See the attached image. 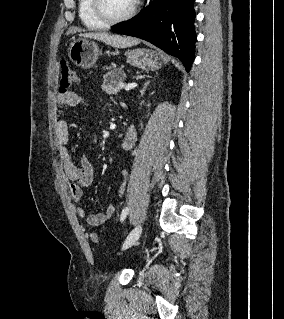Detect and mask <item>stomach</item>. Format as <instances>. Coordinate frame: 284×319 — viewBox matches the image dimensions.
<instances>
[{
  "label": "stomach",
  "instance_id": "obj_1",
  "mask_svg": "<svg viewBox=\"0 0 284 319\" xmlns=\"http://www.w3.org/2000/svg\"><path fill=\"white\" fill-rule=\"evenodd\" d=\"M100 54L101 50L98 45L86 38L74 40L68 49L70 60L81 68L92 67ZM126 56L130 65L145 71L158 70L162 64L160 54L150 49L130 50L126 53Z\"/></svg>",
  "mask_w": 284,
  "mask_h": 319
}]
</instances>
